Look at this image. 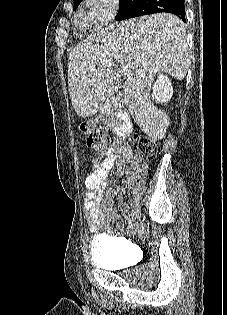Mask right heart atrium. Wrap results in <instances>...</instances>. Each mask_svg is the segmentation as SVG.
Instances as JSON below:
<instances>
[{"instance_id":"d8ad5b80","label":"right heart atrium","mask_w":227,"mask_h":315,"mask_svg":"<svg viewBox=\"0 0 227 315\" xmlns=\"http://www.w3.org/2000/svg\"><path fill=\"white\" fill-rule=\"evenodd\" d=\"M91 21L103 27L113 20L119 9V0H85Z\"/></svg>"}]
</instances>
